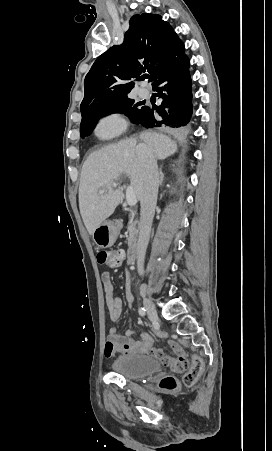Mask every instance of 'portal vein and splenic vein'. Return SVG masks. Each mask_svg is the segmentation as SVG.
Here are the masks:
<instances>
[{
    "mask_svg": "<svg viewBox=\"0 0 272 451\" xmlns=\"http://www.w3.org/2000/svg\"><path fill=\"white\" fill-rule=\"evenodd\" d=\"M113 186H117V184H113ZM105 190H99V194H104ZM126 202L128 206H136L137 200H136V194L133 192V188L131 186H128L126 190Z\"/></svg>",
    "mask_w": 272,
    "mask_h": 451,
    "instance_id": "portal-vein-and-splenic-vein-1",
    "label": "portal vein and splenic vein"
}]
</instances>
